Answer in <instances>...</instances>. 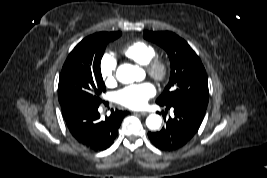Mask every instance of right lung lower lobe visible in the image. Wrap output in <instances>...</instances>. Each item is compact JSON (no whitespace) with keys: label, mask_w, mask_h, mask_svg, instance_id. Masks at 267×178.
Listing matches in <instances>:
<instances>
[{"label":"right lung lower lobe","mask_w":267,"mask_h":178,"mask_svg":"<svg viewBox=\"0 0 267 178\" xmlns=\"http://www.w3.org/2000/svg\"><path fill=\"white\" fill-rule=\"evenodd\" d=\"M100 103L83 99H71L61 103L67 128L73 138L84 148L101 151L109 148L127 112L111 110L109 117L101 120Z\"/></svg>","instance_id":"right-lung-lower-lobe-1"}]
</instances>
